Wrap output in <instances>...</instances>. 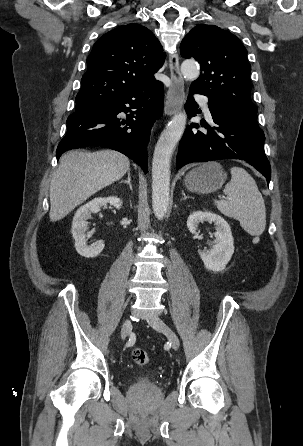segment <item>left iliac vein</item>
I'll return each instance as SVG.
<instances>
[{
	"label": "left iliac vein",
	"instance_id": "left-iliac-vein-1",
	"mask_svg": "<svg viewBox=\"0 0 303 446\" xmlns=\"http://www.w3.org/2000/svg\"><path fill=\"white\" fill-rule=\"evenodd\" d=\"M149 324L154 329L162 332L168 338V341L170 342L173 349H179L180 342L178 336L162 319L154 316L150 319Z\"/></svg>",
	"mask_w": 303,
	"mask_h": 446
}]
</instances>
